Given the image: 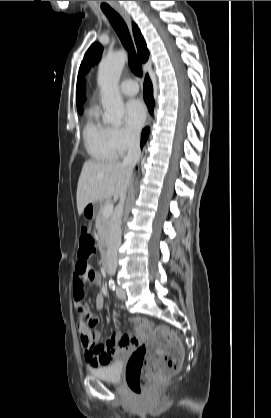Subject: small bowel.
<instances>
[{"instance_id": "c3829d8e", "label": "small bowel", "mask_w": 271, "mask_h": 418, "mask_svg": "<svg viewBox=\"0 0 271 418\" xmlns=\"http://www.w3.org/2000/svg\"><path fill=\"white\" fill-rule=\"evenodd\" d=\"M100 283L97 271L91 270L90 260L76 261V271L73 276V303L74 312L78 314L76 317L80 340L84 348L85 359L93 367L104 366L113 360L125 355L133 346L139 342L138 337L130 333L122 334L114 332L103 345H98L101 332L96 328V319H89L87 314L91 313V306L87 305L84 299L86 285L95 287ZM104 305V297L101 293L95 297V307L101 310ZM130 323L145 326L146 322L138 317L129 319ZM140 328L137 329L139 332Z\"/></svg>"}]
</instances>
